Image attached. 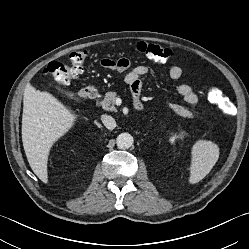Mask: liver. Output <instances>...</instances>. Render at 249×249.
<instances>
[{"instance_id":"1","label":"liver","mask_w":249,"mask_h":249,"mask_svg":"<svg viewBox=\"0 0 249 249\" xmlns=\"http://www.w3.org/2000/svg\"><path fill=\"white\" fill-rule=\"evenodd\" d=\"M77 115L56 97L28 85L24 92L22 142L36 176L48 182L47 162L54 143L75 124Z\"/></svg>"}]
</instances>
